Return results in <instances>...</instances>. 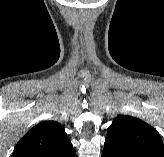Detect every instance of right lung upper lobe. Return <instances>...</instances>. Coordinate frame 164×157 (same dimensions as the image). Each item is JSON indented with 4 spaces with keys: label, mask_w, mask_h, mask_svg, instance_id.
Segmentation results:
<instances>
[{
    "label": "right lung upper lobe",
    "mask_w": 164,
    "mask_h": 157,
    "mask_svg": "<svg viewBox=\"0 0 164 157\" xmlns=\"http://www.w3.org/2000/svg\"><path fill=\"white\" fill-rule=\"evenodd\" d=\"M69 142L61 124L44 121L20 139L11 157H48Z\"/></svg>",
    "instance_id": "cb5924a9"
}]
</instances>
